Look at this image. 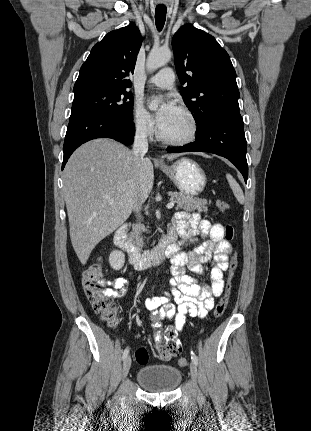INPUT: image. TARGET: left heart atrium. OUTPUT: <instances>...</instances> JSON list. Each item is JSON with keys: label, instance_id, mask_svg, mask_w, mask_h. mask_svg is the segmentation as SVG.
<instances>
[{"label": "left heart atrium", "instance_id": "39dd6f15", "mask_svg": "<svg viewBox=\"0 0 311 431\" xmlns=\"http://www.w3.org/2000/svg\"><path fill=\"white\" fill-rule=\"evenodd\" d=\"M180 111V107L176 99L168 98L159 108L156 113V120L160 129L165 127Z\"/></svg>", "mask_w": 311, "mask_h": 431}]
</instances>
